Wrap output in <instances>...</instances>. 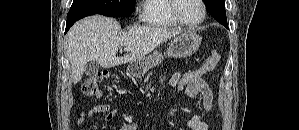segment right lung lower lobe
<instances>
[{
    "label": "right lung lower lobe",
    "instance_id": "98d812e1",
    "mask_svg": "<svg viewBox=\"0 0 299 130\" xmlns=\"http://www.w3.org/2000/svg\"><path fill=\"white\" fill-rule=\"evenodd\" d=\"M92 15L90 13H86V12H69L67 15V23H66V29H65V33L70 29V27L79 19L85 17V16H89Z\"/></svg>",
    "mask_w": 299,
    "mask_h": 130
}]
</instances>
